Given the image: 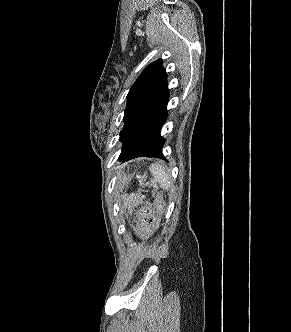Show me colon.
I'll return each instance as SVG.
<instances>
[{
	"label": "colon",
	"mask_w": 291,
	"mask_h": 332,
	"mask_svg": "<svg viewBox=\"0 0 291 332\" xmlns=\"http://www.w3.org/2000/svg\"><path fill=\"white\" fill-rule=\"evenodd\" d=\"M163 207H164V202L160 195L157 197L154 206L151 205L144 206L140 213L142 225L145 228H150L154 224L156 216L162 213Z\"/></svg>",
	"instance_id": "1"
}]
</instances>
